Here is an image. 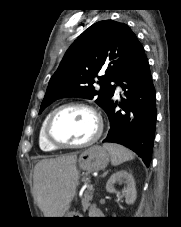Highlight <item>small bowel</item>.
I'll return each mask as SVG.
<instances>
[{"label":"small bowel","instance_id":"small-bowel-1","mask_svg":"<svg viewBox=\"0 0 181 227\" xmlns=\"http://www.w3.org/2000/svg\"><path fill=\"white\" fill-rule=\"evenodd\" d=\"M90 214L93 215V216H96V215H99V211L97 210L96 207H92L90 209Z\"/></svg>","mask_w":181,"mask_h":227}]
</instances>
